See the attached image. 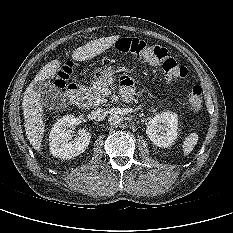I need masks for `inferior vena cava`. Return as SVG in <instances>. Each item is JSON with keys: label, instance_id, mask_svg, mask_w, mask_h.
I'll list each match as a JSON object with an SVG mask.
<instances>
[{"label": "inferior vena cava", "instance_id": "inferior-vena-cava-1", "mask_svg": "<svg viewBox=\"0 0 233 233\" xmlns=\"http://www.w3.org/2000/svg\"><path fill=\"white\" fill-rule=\"evenodd\" d=\"M92 119L102 121L106 117V111L103 108H97L91 112Z\"/></svg>", "mask_w": 233, "mask_h": 233}]
</instances>
